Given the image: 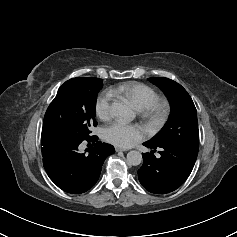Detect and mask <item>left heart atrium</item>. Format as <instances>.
I'll list each match as a JSON object with an SVG mask.
<instances>
[{"instance_id":"obj_1","label":"left heart atrium","mask_w":237,"mask_h":237,"mask_svg":"<svg viewBox=\"0 0 237 237\" xmlns=\"http://www.w3.org/2000/svg\"><path fill=\"white\" fill-rule=\"evenodd\" d=\"M104 139L120 148H129L145 138L143 128L117 121L107 126L103 131Z\"/></svg>"}]
</instances>
